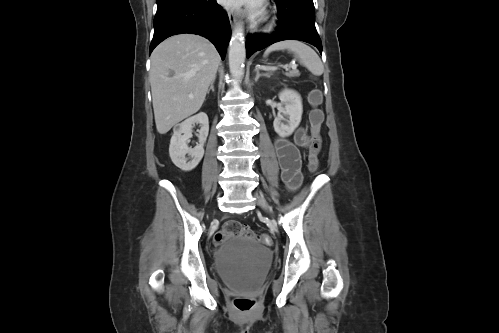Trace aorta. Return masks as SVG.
Masks as SVG:
<instances>
[{"label":"aorta","instance_id":"1","mask_svg":"<svg viewBox=\"0 0 499 333\" xmlns=\"http://www.w3.org/2000/svg\"><path fill=\"white\" fill-rule=\"evenodd\" d=\"M245 56L244 30L240 22L232 33L229 45V69L235 79H240L244 74Z\"/></svg>","mask_w":499,"mask_h":333}]
</instances>
